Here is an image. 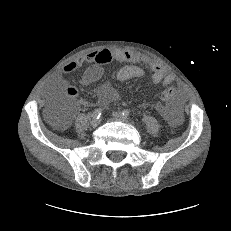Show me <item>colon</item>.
Returning <instances> with one entry per match:
<instances>
[{"label": "colon", "instance_id": "1", "mask_svg": "<svg viewBox=\"0 0 231 231\" xmlns=\"http://www.w3.org/2000/svg\"><path fill=\"white\" fill-rule=\"evenodd\" d=\"M179 97V90L175 86H167L164 88L163 93L160 95L162 102L175 101Z\"/></svg>", "mask_w": 231, "mask_h": 231}]
</instances>
